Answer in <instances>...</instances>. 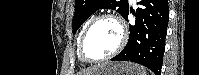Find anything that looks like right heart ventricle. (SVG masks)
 I'll use <instances>...</instances> for the list:
<instances>
[{"label": "right heart ventricle", "mask_w": 199, "mask_h": 75, "mask_svg": "<svg viewBox=\"0 0 199 75\" xmlns=\"http://www.w3.org/2000/svg\"><path fill=\"white\" fill-rule=\"evenodd\" d=\"M88 22H89V20H87V21L84 23L82 31L84 30V28L86 27V25L88 24ZM82 31H81V33H82Z\"/></svg>", "instance_id": "obj_1"}]
</instances>
